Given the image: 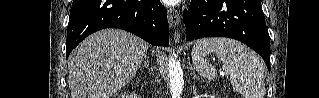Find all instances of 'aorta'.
Here are the masks:
<instances>
[{"label": "aorta", "instance_id": "1", "mask_svg": "<svg viewBox=\"0 0 319 98\" xmlns=\"http://www.w3.org/2000/svg\"><path fill=\"white\" fill-rule=\"evenodd\" d=\"M168 76L170 80V91L172 98H181L183 92V70L180 63L173 57L168 62Z\"/></svg>", "mask_w": 319, "mask_h": 98}]
</instances>
